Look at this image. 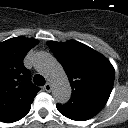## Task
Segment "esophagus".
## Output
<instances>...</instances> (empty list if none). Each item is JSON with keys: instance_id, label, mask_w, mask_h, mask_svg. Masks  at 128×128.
I'll return each instance as SVG.
<instances>
[{"instance_id": "obj_1", "label": "esophagus", "mask_w": 128, "mask_h": 128, "mask_svg": "<svg viewBox=\"0 0 128 128\" xmlns=\"http://www.w3.org/2000/svg\"><path fill=\"white\" fill-rule=\"evenodd\" d=\"M51 84L50 83H46L45 85H44V90L46 91V92H50L51 91Z\"/></svg>"}]
</instances>
